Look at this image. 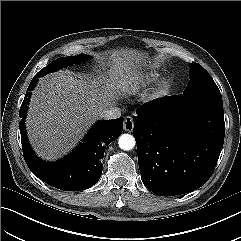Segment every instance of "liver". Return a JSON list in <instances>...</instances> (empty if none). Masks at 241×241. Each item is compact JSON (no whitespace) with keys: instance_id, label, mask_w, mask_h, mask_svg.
I'll list each match as a JSON object with an SVG mask.
<instances>
[{"instance_id":"liver-1","label":"liver","mask_w":241,"mask_h":241,"mask_svg":"<svg viewBox=\"0 0 241 241\" xmlns=\"http://www.w3.org/2000/svg\"><path fill=\"white\" fill-rule=\"evenodd\" d=\"M147 55L132 49L110 52L108 76H73L68 71L47 74L32 91L26 118L29 141L48 161L67 154L120 95L138 90Z\"/></svg>"}]
</instances>
